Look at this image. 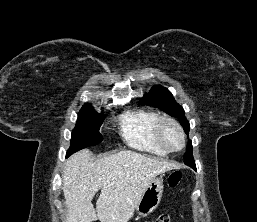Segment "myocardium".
Segmentation results:
<instances>
[{"instance_id":"1","label":"myocardium","mask_w":257,"mask_h":222,"mask_svg":"<svg viewBox=\"0 0 257 222\" xmlns=\"http://www.w3.org/2000/svg\"><path fill=\"white\" fill-rule=\"evenodd\" d=\"M166 124H170V125L174 126L179 131L181 138H182V145L180 148L171 149L165 142L163 135H162V129H163L164 125H166ZM155 136H156V139L159 142V144L169 153L179 152L186 145V135H185V132H184L182 126L179 124V122L177 120H175L174 118L169 117V116H162L158 119V121L156 123V127H155Z\"/></svg>"}]
</instances>
